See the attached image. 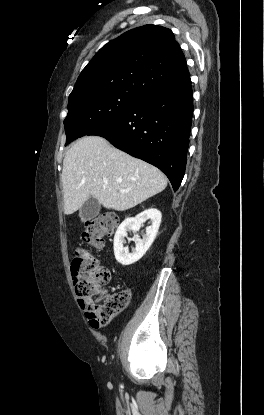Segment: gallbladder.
<instances>
[{
  "label": "gallbladder",
  "instance_id": "bac80fb5",
  "mask_svg": "<svg viewBox=\"0 0 264 415\" xmlns=\"http://www.w3.org/2000/svg\"><path fill=\"white\" fill-rule=\"evenodd\" d=\"M100 203L94 197L88 198L79 210V216L82 221L91 220L95 218L100 212Z\"/></svg>",
  "mask_w": 264,
  "mask_h": 415
}]
</instances>
